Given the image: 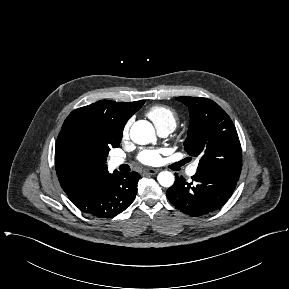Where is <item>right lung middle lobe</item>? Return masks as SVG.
I'll list each match as a JSON object with an SVG mask.
<instances>
[{"mask_svg":"<svg viewBox=\"0 0 289 289\" xmlns=\"http://www.w3.org/2000/svg\"><path fill=\"white\" fill-rule=\"evenodd\" d=\"M122 137L111 142L107 138L78 125L68 127L60 140L62 151L78 167L106 161L110 148H117Z\"/></svg>","mask_w":289,"mask_h":289,"instance_id":"right-lung-middle-lobe-1","label":"right lung middle lobe"}]
</instances>
